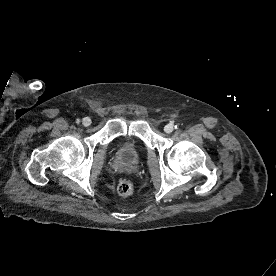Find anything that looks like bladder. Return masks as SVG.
Here are the masks:
<instances>
[{"instance_id": "31cf9c89", "label": "bladder", "mask_w": 276, "mask_h": 276, "mask_svg": "<svg viewBox=\"0 0 276 276\" xmlns=\"http://www.w3.org/2000/svg\"><path fill=\"white\" fill-rule=\"evenodd\" d=\"M118 153L125 163H134L140 156L141 144L135 138L127 136L120 141Z\"/></svg>"}]
</instances>
